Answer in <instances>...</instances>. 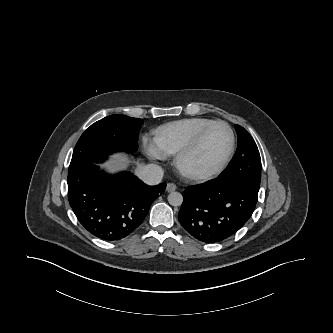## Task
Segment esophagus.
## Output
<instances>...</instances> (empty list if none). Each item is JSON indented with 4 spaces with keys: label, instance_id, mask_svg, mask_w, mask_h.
<instances>
[{
    "label": "esophagus",
    "instance_id": "obj_1",
    "mask_svg": "<svg viewBox=\"0 0 333 333\" xmlns=\"http://www.w3.org/2000/svg\"><path fill=\"white\" fill-rule=\"evenodd\" d=\"M177 189V186L174 183H168L166 190L167 192H173Z\"/></svg>",
    "mask_w": 333,
    "mask_h": 333
}]
</instances>
